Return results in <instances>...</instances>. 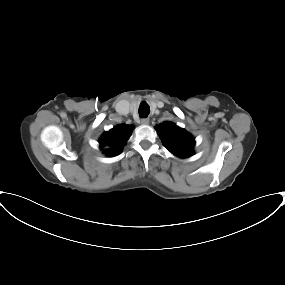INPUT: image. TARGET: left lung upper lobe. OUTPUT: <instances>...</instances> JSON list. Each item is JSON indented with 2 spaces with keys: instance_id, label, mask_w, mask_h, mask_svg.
<instances>
[{
  "instance_id": "obj_1",
  "label": "left lung upper lobe",
  "mask_w": 285,
  "mask_h": 285,
  "mask_svg": "<svg viewBox=\"0 0 285 285\" xmlns=\"http://www.w3.org/2000/svg\"><path fill=\"white\" fill-rule=\"evenodd\" d=\"M163 145L174 155L187 158L193 155L195 139L185 129L171 122H163L155 128Z\"/></svg>"
}]
</instances>
